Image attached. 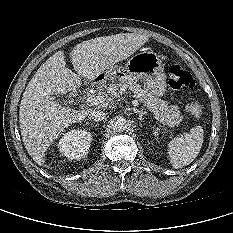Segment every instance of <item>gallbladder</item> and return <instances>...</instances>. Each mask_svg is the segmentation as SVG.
<instances>
[{
	"instance_id": "obj_1",
	"label": "gallbladder",
	"mask_w": 233,
	"mask_h": 233,
	"mask_svg": "<svg viewBox=\"0 0 233 233\" xmlns=\"http://www.w3.org/2000/svg\"><path fill=\"white\" fill-rule=\"evenodd\" d=\"M54 101L60 103L61 105H65L66 101L60 95L51 96Z\"/></svg>"
}]
</instances>
